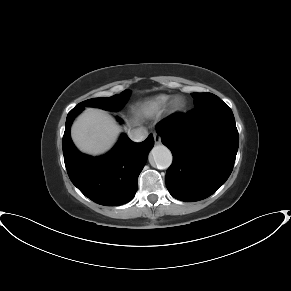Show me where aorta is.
I'll return each instance as SVG.
<instances>
[{
  "label": "aorta",
  "mask_w": 291,
  "mask_h": 291,
  "mask_svg": "<svg viewBox=\"0 0 291 291\" xmlns=\"http://www.w3.org/2000/svg\"><path fill=\"white\" fill-rule=\"evenodd\" d=\"M151 155L158 169H167L172 164V153L164 145L154 146Z\"/></svg>",
  "instance_id": "obj_1"
}]
</instances>
